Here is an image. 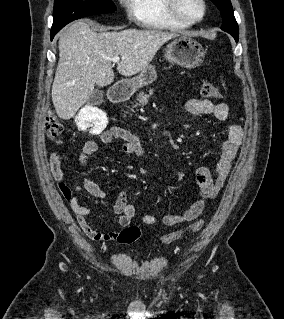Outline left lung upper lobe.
I'll return each instance as SVG.
<instances>
[{
  "mask_svg": "<svg viewBox=\"0 0 284 319\" xmlns=\"http://www.w3.org/2000/svg\"><path fill=\"white\" fill-rule=\"evenodd\" d=\"M219 9L222 15L221 29L231 34L233 37L239 36V28L234 17L233 8L230 0H211Z\"/></svg>",
  "mask_w": 284,
  "mask_h": 319,
  "instance_id": "obj_1",
  "label": "left lung upper lobe"
}]
</instances>
